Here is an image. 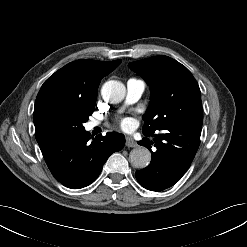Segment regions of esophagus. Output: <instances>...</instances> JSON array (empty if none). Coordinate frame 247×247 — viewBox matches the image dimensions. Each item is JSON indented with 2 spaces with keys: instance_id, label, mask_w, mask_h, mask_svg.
Masks as SVG:
<instances>
[{
  "instance_id": "esophagus-1",
  "label": "esophagus",
  "mask_w": 247,
  "mask_h": 247,
  "mask_svg": "<svg viewBox=\"0 0 247 247\" xmlns=\"http://www.w3.org/2000/svg\"><path fill=\"white\" fill-rule=\"evenodd\" d=\"M126 146L135 148L137 147V143L131 137H126Z\"/></svg>"
}]
</instances>
